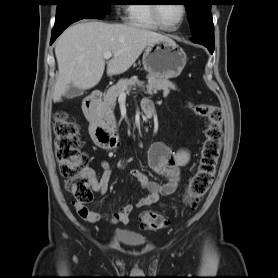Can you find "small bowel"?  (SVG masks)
Segmentation results:
<instances>
[{
	"instance_id": "1",
	"label": "small bowel",
	"mask_w": 278,
	"mask_h": 278,
	"mask_svg": "<svg viewBox=\"0 0 278 278\" xmlns=\"http://www.w3.org/2000/svg\"><path fill=\"white\" fill-rule=\"evenodd\" d=\"M143 109L147 116L154 112V106L150 100H144ZM150 167L159 175L165 178L164 183L150 181L139 169H131L130 174L147 190L148 194L140 198L134 205L127 204L121 207L111 217V222L127 224L129 216L135 207L141 208L156 203L161 196L172 195L179 187L181 180V168L190 160V153L186 149L172 151L167 145L161 142L153 143L147 153ZM102 174L100 179L93 176L92 189L99 195H106L109 191V181L112 175V168L107 160L101 161ZM78 214L89 222H97L101 215L85 205L73 203Z\"/></svg>"
}]
</instances>
